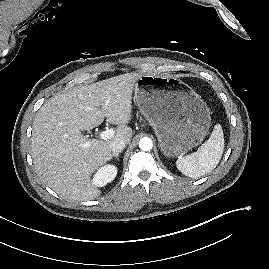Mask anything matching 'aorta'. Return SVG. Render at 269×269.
<instances>
[{"label": "aorta", "mask_w": 269, "mask_h": 269, "mask_svg": "<svg viewBox=\"0 0 269 269\" xmlns=\"http://www.w3.org/2000/svg\"><path fill=\"white\" fill-rule=\"evenodd\" d=\"M139 147L143 151H149L153 147V142L148 137L141 138L139 141Z\"/></svg>", "instance_id": "762f6f07"}]
</instances>
